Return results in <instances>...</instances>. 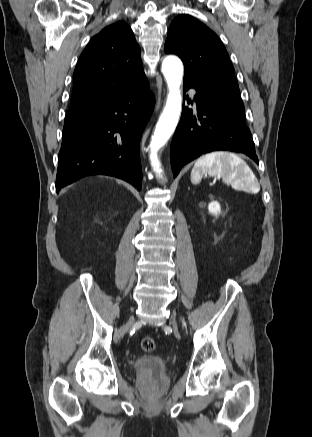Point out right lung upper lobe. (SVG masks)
Instances as JSON below:
<instances>
[{"mask_svg":"<svg viewBox=\"0 0 312 437\" xmlns=\"http://www.w3.org/2000/svg\"><path fill=\"white\" fill-rule=\"evenodd\" d=\"M144 75L140 48L131 28L119 21L95 35L73 74L67 113H82L116 97Z\"/></svg>","mask_w":312,"mask_h":437,"instance_id":"obj_1","label":"right lung upper lobe"}]
</instances>
